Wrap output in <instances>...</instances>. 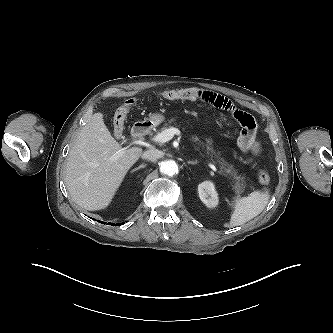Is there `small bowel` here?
<instances>
[{
    "label": "small bowel",
    "instance_id": "obj_1",
    "mask_svg": "<svg viewBox=\"0 0 333 333\" xmlns=\"http://www.w3.org/2000/svg\"><path fill=\"white\" fill-rule=\"evenodd\" d=\"M198 94V100L212 107L228 112L241 126L242 131L238 138V146L242 151L257 153L259 145L255 137V120L247 113L239 109L228 97L219 93L201 88H193Z\"/></svg>",
    "mask_w": 333,
    "mask_h": 333
}]
</instances>
